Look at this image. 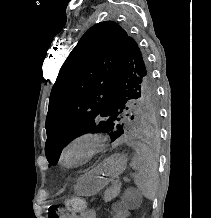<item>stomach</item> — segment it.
<instances>
[{
    "label": "stomach",
    "mask_w": 211,
    "mask_h": 218,
    "mask_svg": "<svg viewBox=\"0 0 211 218\" xmlns=\"http://www.w3.org/2000/svg\"><path fill=\"white\" fill-rule=\"evenodd\" d=\"M127 166V158L123 154H114L97 167L82 175L76 185V192L82 196L98 193L108 183L117 178Z\"/></svg>",
    "instance_id": "stomach-1"
}]
</instances>
